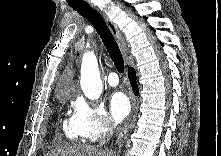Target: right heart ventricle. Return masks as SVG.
<instances>
[{"label":"right heart ventricle","mask_w":221,"mask_h":156,"mask_svg":"<svg viewBox=\"0 0 221 156\" xmlns=\"http://www.w3.org/2000/svg\"><path fill=\"white\" fill-rule=\"evenodd\" d=\"M63 131L69 140L75 141L78 138L72 118L63 122Z\"/></svg>","instance_id":"right-heart-ventricle-1"}]
</instances>
